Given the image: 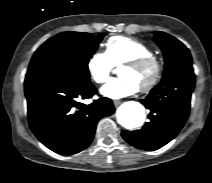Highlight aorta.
I'll return each instance as SVG.
<instances>
[{"mask_svg": "<svg viewBox=\"0 0 212 183\" xmlns=\"http://www.w3.org/2000/svg\"><path fill=\"white\" fill-rule=\"evenodd\" d=\"M118 122L127 129L137 128L143 125L145 109L138 102H126L117 111Z\"/></svg>", "mask_w": 212, "mask_h": 183, "instance_id": "762f6f07", "label": "aorta"}]
</instances>
